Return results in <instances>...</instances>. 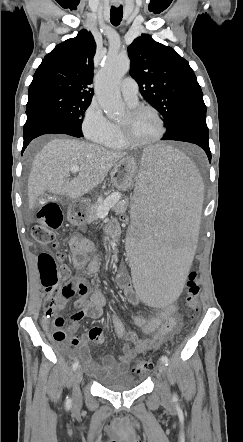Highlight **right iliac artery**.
<instances>
[{
	"label": "right iliac artery",
	"instance_id": "1",
	"mask_svg": "<svg viewBox=\"0 0 243 442\" xmlns=\"http://www.w3.org/2000/svg\"><path fill=\"white\" fill-rule=\"evenodd\" d=\"M78 366H79V362L75 361L72 366L73 370H76L78 368ZM65 407H66V409H70V407H71V399L69 397L66 398Z\"/></svg>",
	"mask_w": 243,
	"mask_h": 442
}]
</instances>
